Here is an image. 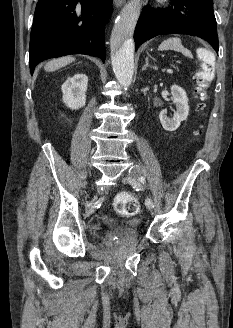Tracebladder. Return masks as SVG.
Listing matches in <instances>:
<instances>
[{
	"mask_svg": "<svg viewBox=\"0 0 233 328\" xmlns=\"http://www.w3.org/2000/svg\"><path fill=\"white\" fill-rule=\"evenodd\" d=\"M136 243H137V238H136V236H131V244L132 245H136Z\"/></svg>",
	"mask_w": 233,
	"mask_h": 328,
	"instance_id": "bladder-1",
	"label": "bladder"
}]
</instances>
